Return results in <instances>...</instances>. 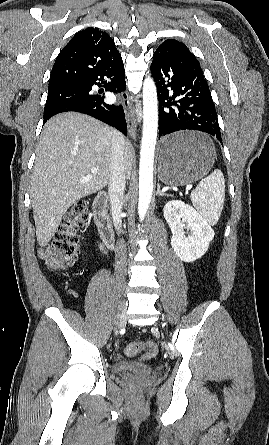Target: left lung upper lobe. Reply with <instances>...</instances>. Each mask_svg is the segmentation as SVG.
<instances>
[{
  "label": "left lung upper lobe",
  "instance_id": "obj_1",
  "mask_svg": "<svg viewBox=\"0 0 269 445\" xmlns=\"http://www.w3.org/2000/svg\"><path fill=\"white\" fill-rule=\"evenodd\" d=\"M156 51H161V52H186V53H190L189 49L187 48V46L182 43L179 42L177 40L174 39H168L166 41H164L158 48Z\"/></svg>",
  "mask_w": 269,
  "mask_h": 445
}]
</instances>
